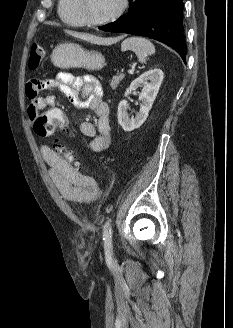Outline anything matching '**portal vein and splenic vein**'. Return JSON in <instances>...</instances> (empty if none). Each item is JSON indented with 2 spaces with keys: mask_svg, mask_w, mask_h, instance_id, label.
I'll list each match as a JSON object with an SVG mask.
<instances>
[{
  "mask_svg": "<svg viewBox=\"0 0 233 328\" xmlns=\"http://www.w3.org/2000/svg\"><path fill=\"white\" fill-rule=\"evenodd\" d=\"M128 73L129 74H133L134 73V70L130 69V70H128Z\"/></svg>",
  "mask_w": 233,
  "mask_h": 328,
  "instance_id": "portal-vein-and-splenic-vein-1",
  "label": "portal vein and splenic vein"
}]
</instances>
